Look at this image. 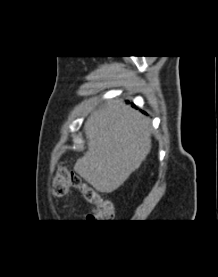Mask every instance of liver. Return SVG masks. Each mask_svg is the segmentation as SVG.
Segmentation results:
<instances>
[{"label": "liver", "mask_w": 218, "mask_h": 277, "mask_svg": "<svg viewBox=\"0 0 218 277\" xmlns=\"http://www.w3.org/2000/svg\"><path fill=\"white\" fill-rule=\"evenodd\" d=\"M84 132L88 149L74 170L101 193L119 188L151 150L149 120L123 103L89 110Z\"/></svg>", "instance_id": "1"}]
</instances>
